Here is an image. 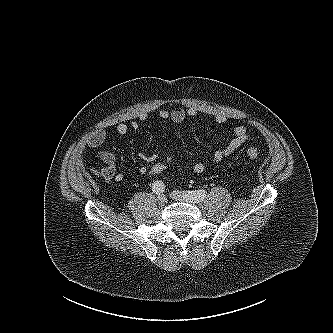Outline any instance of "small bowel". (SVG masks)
Returning <instances> with one entry per match:
<instances>
[{"mask_svg": "<svg viewBox=\"0 0 333 333\" xmlns=\"http://www.w3.org/2000/svg\"><path fill=\"white\" fill-rule=\"evenodd\" d=\"M158 115L163 120H171L175 124L182 123L187 117H194L197 115V111L194 108H189L187 110H184L180 107H175L172 109H161L158 112ZM215 122L219 125H223L226 122L225 116L218 114L215 116ZM139 127L138 123L136 121H132L131 123H119L116 126V132L123 136L127 134L130 130H137ZM106 139V134L102 130H96L93 132L88 141V146L92 148H99L104 143ZM248 140V133L247 128L243 124H238L232 132V137L227 143V145L224 148H219L213 151L212 153V161L214 163H219L225 158L232 155L240 146H242L246 141ZM98 157L104 164L103 167L94 170L95 174L105 180H116V181H122L124 179V174L122 172H118L116 169L115 164V157L114 155L107 151V150H99L98 151ZM157 154H148L145 152H142L139 154V158L144 163L139 167V173L140 174H146L148 171V167L150 164L155 162L157 160ZM193 171L195 173H202L205 170V163L201 161H197L194 163L192 167Z\"/></svg>", "mask_w": 333, "mask_h": 333, "instance_id": "obj_1", "label": "small bowel"}]
</instances>
